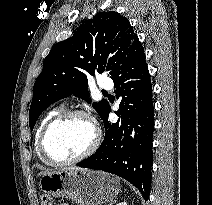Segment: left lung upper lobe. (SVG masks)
Masks as SVG:
<instances>
[{
  "label": "left lung upper lobe",
  "mask_w": 212,
  "mask_h": 205,
  "mask_svg": "<svg viewBox=\"0 0 212 205\" xmlns=\"http://www.w3.org/2000/svg\"><path fill=\"white\" fill-rule=\"evenodd\" d=\"M136 38L128 19L111 11L96 14L72 37L55 44L34 84L30 128L47 107L62 98L74 95L91 103L88 76L107 71L112 78ZM108 106L105 99L93 103L101 117Z\"/></svg>",
  "instance_id": "obj_1"
}]
</instances>
